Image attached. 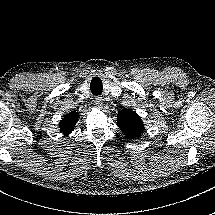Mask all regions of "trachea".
<instances>
[{"instance_id": "3493384b", "label": "trachea", "mask_w": 215, "mask_h": 215, "mask_svg": "<svg viewBox=\"0 0 215 215\" xmlns=\"http://www.w3.org/2000/svg\"><path fill=\"white\" fill-rule=\"evenodd\" d=\"M90 88L93 95H100L103 90L101 79L97 76L93 77L91 80Z\"/></svg>"}]
</instances>
